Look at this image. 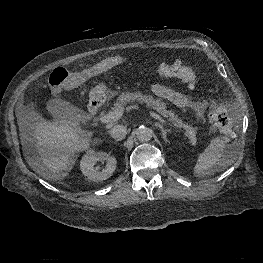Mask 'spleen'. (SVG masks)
Masks as SVG:
<instances>
[{
  "instance_id": "1",
  "label": "spleen",
  "mask_w": 263,
  "mask_h": 263,
  "mask_svg": "<svg viewBox=\"0 0 263 263\" xmlns=\"http://www.w3.org/2000/svg\"><path fill=\"white\" fill-rule=\"evenodd\" d=\"M232 150L221 137L213 138L208 147L198 156L194 167L195 176L203 177L213 167L219 170L229 167L234 162Z\"/></svg>"
}]
</instances>
